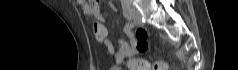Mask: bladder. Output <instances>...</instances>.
Segmentation results:
<instances>
[{
	"label": "bladder",
	"mask_w": 238,
	"mask_h": 70,
	"mask_svg": "<svg viewBox=\"0 0 238 70\" xmlns=\"http://www.w3.org/2000/svg\"><path fill=\"white\" fill-rule=\"evenodd\" d=\"M111 70H123V69L120 67H113V68H111Z\"/></svg>",
	"instance_id": "1"
}]
</instances>
